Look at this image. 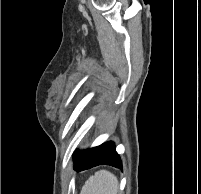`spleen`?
Masks as SVG:
<instances>
[{
    "label": "spleen",
    "mask_w": 201,
    "mask_h": 194,
    "mask_svg": "<svg viewBox=\"0 0 201 194\" xmlns=\"http://www.w3.org/2000/svg\"><path fill=\"white\" fill-rule=\"evenodd\" d=\"M117 192V177L107 170H100L87 179L80 194H117Z\"/></svg>",
    "instance_id": "1"
}]
</instances>
